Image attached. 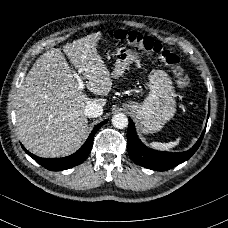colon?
<instances>
[{
  "instance_id": "5ec220e1",
  "label": "colon",
  "mask_w": 228,
  "mask_h": 228,
  "mask_svg": "<svg viewBox=\"0 0 228 228\" xmlns=\"http://www.w3.org/2000/svg\"><path fill=\"white\" fill-rule=\"evenodd\" d=\"M112 37L118 42L129 43L144 52L157 55L171 70L177 89L181 92L187 90L189 78L184 72L179 58L172 51L166 49L159 41L147 37L140 32L123 29L114 30Z\"/></svg>"
}]
</instances>
